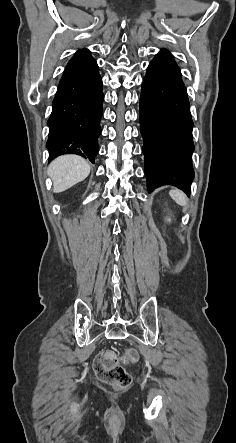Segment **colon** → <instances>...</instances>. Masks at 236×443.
I'll return each instance as SVG.
<instances>
[{"mask_svg":"<svg viewBox=\"0 0 236 443\" xmlns=\"http://www.w3.org/2000/svg\"><path fill=\"white\" fill-rule=\"evenodd\" d=\"M137 360L138 352L133 348L125 349L120 358L107 351L96 357L93 368L99 380L115 388L124 389L131 384V376L120 362L134 363Z\"/></svg>","mask_w":236,"mask_h":443,"instance_id":"1","label":"colon"}]
</instances>
